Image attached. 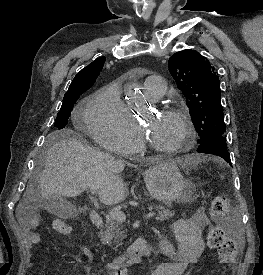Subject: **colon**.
Returning a JSON list of instances; mask_svg holds the SVG:
<instances>
[{"label":"colon","instance_id":"colon-1","mask_svg":"<svg viewBox=\"0 0 263 275\" xmlns=\"http://www.w3.org/2000/svg\"><path fill=\"white\" fill-rule=\"evenodd\" d=\"M229 202L225 195H215L211 200V215L215 219L225 217ZM55 230L63 235L71 234L72 228L63 221L54 223ZM208 244L216 249L218 258L227 269H231L236 261L237 245L220 227H213L208 234Z\"/></svg>","mask_w":263,"mask_h":275}]
</instances>
